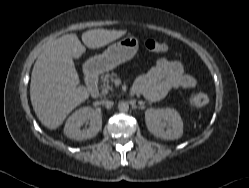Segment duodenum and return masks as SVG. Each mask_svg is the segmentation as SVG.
I'll use <instances>...</instances> for the list:
<instances>
[{"instance_id": "1", "label": "duodenum", "mask_w": 249, "mask_h": 188, "mask_svg": "<svg viewBox=\"0 0 249 188\" xmlns=\"http://www.w3.org/2000/svg\"><path fill=\"white\" fill-rule=\"evenodd\" d=\"M86 83L90 92V95L92 98H97L99 96V87H98V74L95 70H87L86 71ZM136 90H133V93H135Z\"/></svg>"}]
</instances>
